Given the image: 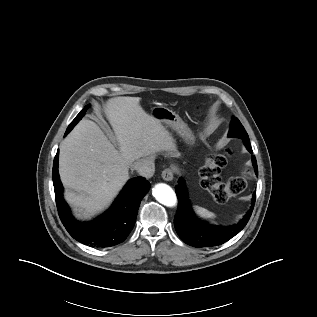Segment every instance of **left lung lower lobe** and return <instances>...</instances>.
I'll use <instances>...</instances> for the list:
<instances>
[{"label":"left lung lower lobe","instance_id":"left-lung-lower-lobe-1","mask_svg":"<svg viewBox=\"0 0 317 317\" xmlns=\"http://www.w3.org/2000/svg\"><path fill=\"white\" fill-rule=\"evenodd\" d=\"M250 153V143H244ZM252 164L255 174L258 175V168L255 156H252ZM179 200L178 210L174 219V226L183 242L195 247H212L221 245L237 235L249 221L256 199V191L253 193L252 206L244 218L235 225L222 227L210 225L198 219L192 211L188 200L187 190L182 179H179L175 188Z\"/></svg>","mask_w":317,"mask_h":317}]
</instances>
